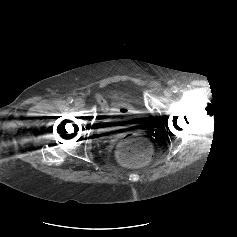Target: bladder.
<instances>
[{"label":"bladder","instance_id":"1","mask_svg":"<svg viewBox=\"0 0 237 237\" xmlns=\"http://www.w3.org/2000/svg\"><path fill=\"white\" fill-rule=\"evenodd\" d=\"M124 115H110L105 116L98 124V128L101 129V133L108 135L120 130L133 127L137 125L144 116V111H130Z\"/></svg>","mask_w":237,"mask_h":237}]
</instances>
